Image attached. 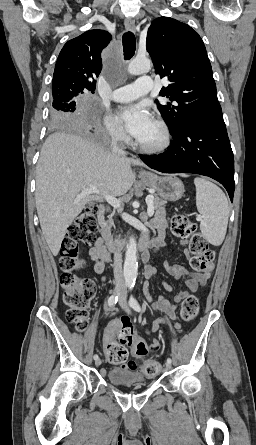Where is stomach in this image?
Masks as SVG:
<instances>
[{
    "label": "stomach",
    "instance_id": "stomach-1",
    "mask_svg": "<svg viewBox=\"0 0 256 445\" xmlns=\"http://www.w3.org/2000/svg\"><path fill=\"white\" fill-rule=\"evenodd\" d=\"M142 180L165 201H177L185 192L182 181L174 175L161 177L151 174L149 177H142Z\"/></svg>",
    "mask_w": 256,
    "mask_h": 445
}]
</instances>
